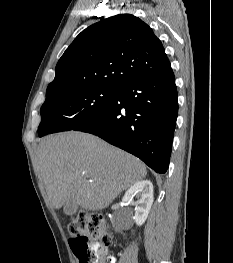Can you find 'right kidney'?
Instances as JSON below:
<instances>
[{
  "label": "right kidney",
  "mask_w": 233,
  "mask_h": 263,
  "mask_svg": "<svg viewBox=\"0 0 233 263\" xmlns=\"http://www.w3.org/2000/svg\"><path fill=\"white\" fill-rule=\"evenodd\" d=\"M134 197L137 198L136 202L133 201ZM153 199V185L150 180H140L126 191L122 201L135 206L134 220L137 226H141L146 221Z\"/></svg>",
  "instance_id": "1"
}]
</instances>
